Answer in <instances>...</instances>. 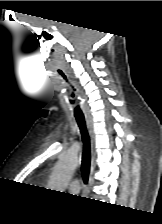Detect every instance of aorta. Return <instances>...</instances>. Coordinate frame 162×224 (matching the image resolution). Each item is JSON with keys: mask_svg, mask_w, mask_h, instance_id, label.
Returning a JSON list of instances; mask_svg holds the SVG:
<instances>
[{"mask_svg": "<svg viewBox=\"0 0 162 224\" xmlns=\"http://www.w3.org/2000/svg\"><path fill=\"white\" fill-rule=\"evenodd\" d=\"M78 165V158L74 155H66L61 158L53 169L50 178L49 187L51 190L61 191L64 189V184L69 180Z\"/></svg>", "mask_w": 162, "mask_h": 224, "instance_id": "obj_1", "label": "aorta"}]
</instances>
